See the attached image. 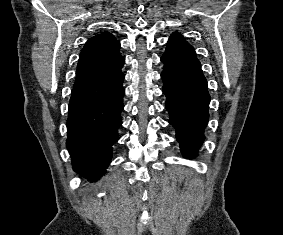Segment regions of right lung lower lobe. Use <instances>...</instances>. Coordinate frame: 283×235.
<instances>
[{
    "mask_svg": "<svg viewBox=\"0 0 283 235\" xmlns=\"http://www.w3.org/2000/svg\"><path fill=\"white\" fill-rule=\"evenodd\" d=\"M123 79L120 70L72 89L66 145L73 169L86 178H100L111 161L112 145L122 124Z\"/></svg>",
    "mask_w": 283,
    "mask_h": 235,
    "instance_id": "98d812e1",
    "label": "right lung lower lobe"
}]
</instances>
